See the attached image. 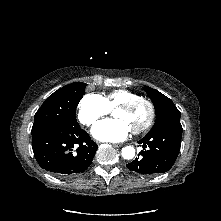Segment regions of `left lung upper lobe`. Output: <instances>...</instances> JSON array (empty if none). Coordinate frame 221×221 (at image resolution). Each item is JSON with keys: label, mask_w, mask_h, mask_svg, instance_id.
<instances>
[{"label": "left lung upper lobe", "mask_w": 221, "mask_h": 221, "mask_svg": "<svg viewBox=\"0 0 221 221\" xmlns=\"http://www.w3.org/2000/svg\"><path fill=\"white\" fill-rule=\"evenodd\" d=\"M144 90L152 100L156 111V122L151 130L163 125H181L180 112L168 97L148 86H145Z\"/></svg>", "instance_id": "obj_1"}]
</instances>
